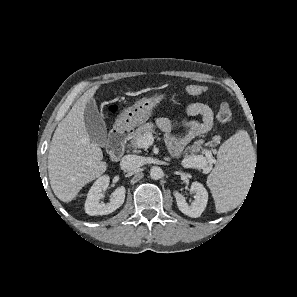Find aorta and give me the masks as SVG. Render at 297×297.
Listing matches in <instances>:
<instances>
[{
  "label": "aorta",
  "instance_id": "obj_1",
  "mask_svg": "<svg viewBox=\"0 0 297 297\" xmlns=\"http://www.w3.org/2000/svg\"><path fill=\"white\" fill-rule=\"evenodd\" d=\"M150 176L154 180H158L163 176V171L160 167L154 166L150 169Z\"/></svg>",
  "mask_w": 297,
  "mask_h": 297
}]
</instances>
